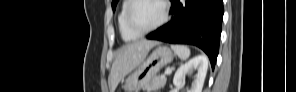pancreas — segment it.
I'll return each instance as SVG.
<instances>
[{
  "mask_svg": "<svg viewBox=\"0 0 296 92\" xmlns=\"http://www.w3.org/2000/svg\"><path fill=\"white\" fill-rule=\"evenodd\" d=\"M166 84V77L162 78L160 76H155L152 80L147 83L143 90L146 92H152L156 91L158 89H161L165 86Z\"/></svg>",
  "mask_w": 296,
  "mask_h": 92,
  "instance_id": "obj_1",
  "label": "pancreas"
}]
</instances>
